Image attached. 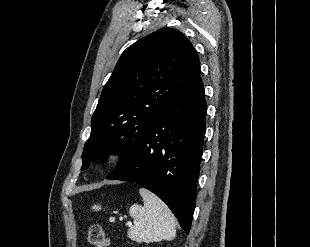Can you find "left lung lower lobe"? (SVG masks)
<instances>
[{"mask_svg":"<svg viewBox=\"0 0 310 247\" xmlns=\"http://www.w3.org/2000/svg\"><path fill=\"white\" fill-rule=\"evenodd\" d=\"M207 104L200 76L152 124L136 152L107 178L155 193L189 233L196 203Z\"/></svg>","mask_w":310,"mask_h":247,"instance_id":"left-lung-lower-lobe-1","label":"left lung lower lobe"}]
</instances>
